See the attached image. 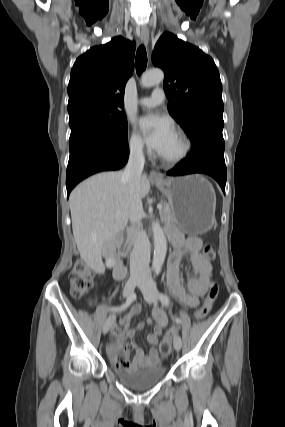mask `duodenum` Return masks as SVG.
<instances>
[{
	"mask_svg": "<svg viewBox=\"0 0 285 427\" xmlns=\"http://www.w3.org/2000/svg\"><path fill=\"white\" fill-rule=\"evenodd\" d=\"M126 239H127L126 235L119 237L117 239L118 245L122 246L124 244V242L126 241ZM125 273H126V268H125L124 264L119 263L116 266L115 271H114L115 277L120 279V278L124 277Z\"/></svg>",
	"mask_w": 285,
	"mask_h": 427,
	"instance_id": "duodenum-1",
	"label": "duodenum"
}]
</instances>
